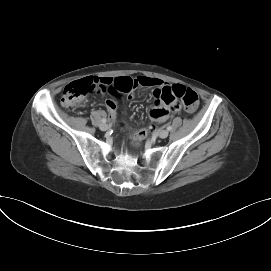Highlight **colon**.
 I'll return each mask as SVG.
<instances>
[{"label": "colon", "instance_id": "colon-1", "mask_svg": "<svg viewBox=\"0 0 271 271\" xmlns=\"http://www.w3.org/2000/svg\"><path fill=\"white\" fill-rule=\"evenodd\" d=\"M98 80L85 78L68 84L63 91L61 104L64 107L78 108L86 104L87 96L96 93V83ZM134 90V89H133ZM161 98L166 103H172L180 100L188 112L196 110L199 104L198 94L191 88L175 84L165 87L162 90ZM147 130L139 132V139L144 138Z\"/></svg>", "mask_w": 271, "mask_h": 271}]
</instances>
